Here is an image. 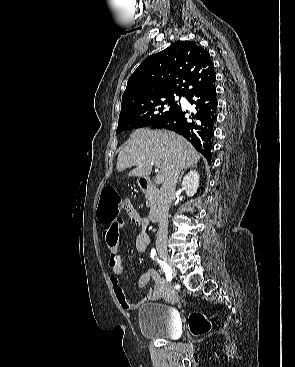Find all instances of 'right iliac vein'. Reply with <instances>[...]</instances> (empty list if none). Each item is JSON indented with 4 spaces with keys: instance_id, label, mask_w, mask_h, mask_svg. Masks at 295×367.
Here are the masks:
<instances>
[{
    "instance_id": "right-iliac-vein-1",
    "label": "right iliac vein",
    "mask_w": 295,
    "mask_h": 367,
    "mask_svg": "<svg viewBox=\"0 0 295 367\" xmlns=\"http://www.w3.org/2000/svg\"><path fill=\"white\" fill-rule=\"evenodd\" d=\"M158 254L169 265V267L171 268V271H172V275L174 277H176L177 272H176L174 264L171 261V258H170V255H169L168 251L164 248H159L158 249Z\"/></svg>"
}]
</instances>
